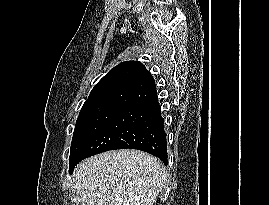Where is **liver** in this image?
<instances>
[{
    "label": "liver",
    "mask_w": 269,
    "mask_h": 205,
    "mask_svg": "<svg viewBox=\"0 0 269 205\" xmlns=\"http://www.w3.org/2000/svg\"><path fill=\"white\" fill-rule=\"evenodd\" d=\"M74 177L82 205H153L165 172L156 157L123 149L82 161Z\"/></svg>",
    "instance_id": "1"
}]
</instances>
